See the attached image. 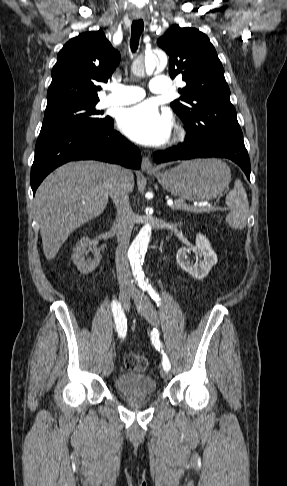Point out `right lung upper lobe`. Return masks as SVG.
<instances>
[{
  "instance_id": "obj_1",
  "label": "right lung upper lobe",
  "mask_w": 287,
  "mask_h": 486,
  "mask_svg": "<svg viewBox=\"0 0 287 486\" xmlns=\"http://www.w3.org/2000/svg\"><path fill=\"white\" fill-rule=\"evenodd\" d=\"M120 60L102 30L81 33L60 50L52 69L47 107L71 101L99 99L98 85L107 82Z\"/></svg>"
}]
</instances>
